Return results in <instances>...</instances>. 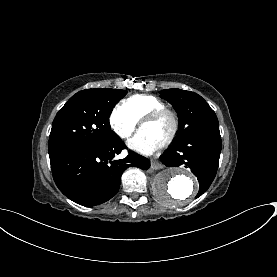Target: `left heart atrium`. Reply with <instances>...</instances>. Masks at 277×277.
Listing matches in <instances>:
<instances>
[{"instance_id": "left-heart-atrium-1", "label": "left heart atrium", "mask_w": 277, "mask_h": 277, "mask_svg": "<svg viewBox=\"0 0 277 277\" xmlns=\"http://www.w3.org/2000/svg\"><path fill=\"white\" fill-rule=\"evenodd\" d=\"M160 141L151 137L144 130H140L137 135L130 141L129 146L140 153H150L160 147Z\"/></svg>"}]
</instances>
